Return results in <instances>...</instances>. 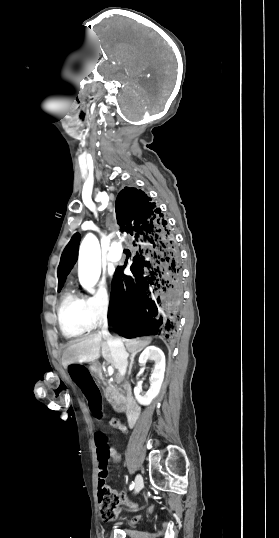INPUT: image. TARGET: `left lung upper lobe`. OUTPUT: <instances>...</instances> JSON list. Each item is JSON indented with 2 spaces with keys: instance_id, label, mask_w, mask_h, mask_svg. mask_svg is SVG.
I'll use <instances>...</instances> for the list:
<instances>
[{
  "instance_id": "left-lung-upper-lobe-1",
  "label": "left lung upper lobe",
  "mask_w": 279,
  "mask_h": 538,
  "mask_svg": "<svg viewBox=\"0 0 279 538\" xmlns=\"http://www.w3.org/2000/svg\"><path fill=\"white\" fill-rule=\"evenodd\" d=\"M79 242L80 234L76 233L63 251L58 267V291L61 290L67 275L77 261Z\"/></svg>"
}]
</instances>
